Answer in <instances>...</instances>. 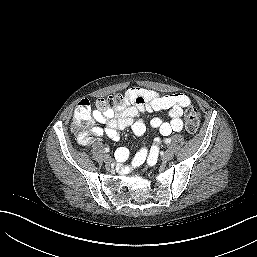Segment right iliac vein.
<instances>
[{"label":"right iliac vein","mask_w":257,"mask_h":257,"mask_svg":"<svg viewBox=\"0 0 257 257\" xmlns=\"http://www.w3.org/2000/svg\"><path fill=\"white\" fill-rule=\"evenodd\" d=\"M104 161L108 164H110L112 162V157L109 154H106L104 156Z\"/></svg>","instance_id":"1"}]
</instances>
